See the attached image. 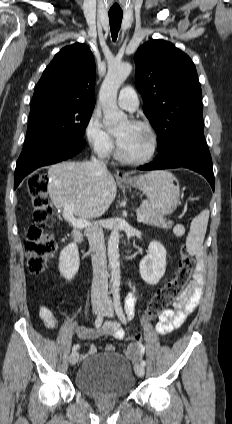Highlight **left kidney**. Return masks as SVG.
<instances>
[{"label": "left kidney", "instance_id": "1", "mask_svg": "<svg viewBox=\"0 0 232 424\" xmlns=\"http://www.w3.org/2000/svg\"><path fill=\"white\" fill-rule=\"evenodd\" d=\"M148 251L149 253L140 261V274L146 283L156 285L166 270V249L161 243L152 241Z\"/></svg>", "mask_w": 232, "mask_h": 424}]
</instances>
